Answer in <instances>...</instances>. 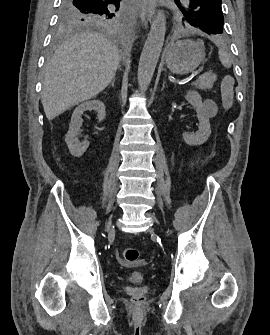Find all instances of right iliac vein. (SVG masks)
<instances>
[{
  "label": "right iliac vein",
  "mask_w": 270,
  "mask_h": 335,
  "mask_svg": "<svg viewBox=\"0 0 270 335\" xmlns=\"http://www.w3.org/2000/svg\"><path fill=\"white\" fill-rule=\"evenodd\" d=\"M108 229L112 230L114 228L113 224L111 221H109L108 225H107Z\"/></svg>",
  "instance_id": "1"
}]
</instances>
